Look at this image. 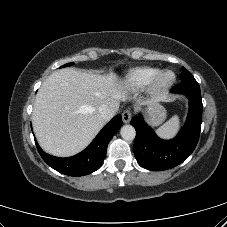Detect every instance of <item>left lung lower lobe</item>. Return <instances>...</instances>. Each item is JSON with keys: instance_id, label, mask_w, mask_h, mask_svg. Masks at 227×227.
I'll return each instance as SVG.
<instances>
[{"instance_id": "left-lung-lower-lobe-1", "label": "left lung lower lobe", "mask_w": 227, "mask_h": 227, "mask_svg": "<svg viewBox=\"0 0 227 227\" xmlns=\"http://www.w3.org/2000/svg\"><path fill=\"white\" fill-rule=\"evenodd\" d=\"M172 92L184 94L189 99L187 121L174 139H160L141 114L131 120L136 129L135 158L148 170L162 171L179 165L191 155L199 139L203 108L199 84L194 77L187 78L175 86Z\"/></svg>"}]
</instances>
